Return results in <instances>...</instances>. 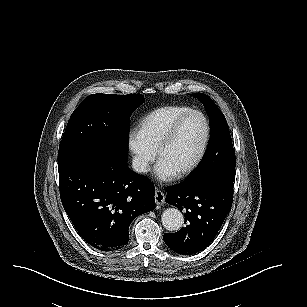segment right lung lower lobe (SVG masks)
Here are the masks:
<instances>
[{"label":"right lung lower lobe","instance_id":"1","mask_svg":"<svg viewBox=\"0 0 307 307\" xmlns=\"http://www.w3.org/2000/svg\"><path fill=\"white\" fill-rule=\"evenodd\" d=\"M126 159L91 150L58 161L62 205L86 243L101 251L127 244L132 220L155 208L153 184Z\"/></svg>","mask_w":307,"mask_h":307}]
</instances>
